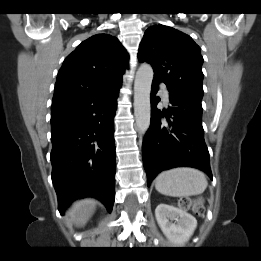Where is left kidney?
<instances>
[{"label": "left kidney", "instance_id": "left-kidney-1", "mask_svg": "<svg viewBox=\"0 0 261 261\" xmlns=\"http://www.w3.org/2000/svg\"><path fill=\"white\" fill-rule=\"evenodd\" d=\"M156 220L170 242L183 245L194 233L197 220L183 209L159 204L155 209Z\"/></svg>", "mask_w": 261, "mask_h": 261}]
</instances>
